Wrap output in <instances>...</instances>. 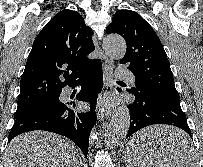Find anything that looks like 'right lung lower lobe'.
Returning a JSON list of instances; mask_svg holds the SVG:
<instances>
[{"instance_id": "1", "label": "right lung lower lobe", "mask_w": 203, "mask_h": 167, "mask_svg": "<svg viewBox=\"0 0 203 167\" xmlns=\"http://www.w3.org/2000/svg\"><path fill=\"white\" fill-rule=\"evenodd\" d=\"M68 85L71 87L82 85V89L77 94L76 99L89 102V112H75L74 101L60 100L52 105L29 111L15 118L14 125L9 133L8 142L24 132L45 130L71 139L87 157L90 132L96 123L95 108L97 97L103 87L101 60H98L94 66Z\"/></svg>"}]
</instances>
